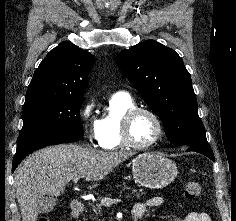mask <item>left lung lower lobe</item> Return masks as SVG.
<instances>
[{"instance_id":"left-lung-lower-lobe-1","label":"left lung lower lobe","mask_w":236,"mask_h":221,"mask_svg":"<svg viewBox=\"0 0 236 221\" xmlns=\"http://www.w3.org/2000/svg\"><path fill=\"white\" fill-rule=\"evenodd\" d=\"M187 150L199 152L214 161V155L209 143L187 146Z\"/></svg>"}]
</instances>
